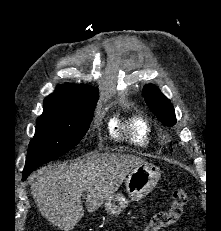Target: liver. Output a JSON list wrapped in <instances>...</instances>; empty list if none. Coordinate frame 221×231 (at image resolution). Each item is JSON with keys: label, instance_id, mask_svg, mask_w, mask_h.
I'll list each match as a JSON object with an SVG mask.
<instances>
[{"label": "liver", "instance_id": "6515ba94", "mask_svg": "<svg viewBox=\"0 0 221 231\" xmlns=\"http://www.w3.org/2000/svg\"><path fill=\"white\" fill-rule=\"evenodd\" d=\"M144 160L125 154H89L71 163L45 166L29 178L33 198L41 214L54 226L72 230L86 208L95 212L119 189L127 175Z\"/></svg>", "mask_w": 221, "mask_h": 231}]
</instances>
